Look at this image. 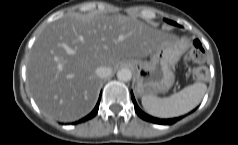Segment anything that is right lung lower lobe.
<instances>
[{
    "label": "right lung lower lobe",
    "instance_id": "obj_1",
    "mask_svg": "<svg viewBox=\"0 0 238 145\" xmlns=\"http://www.w3.org/2000/svg\"><path fill=\"white\" fill-rule=\"evenodd\" d=\"M100 99H101V95H100V97H99L98 103H97L96 107L94 108V110H93L89 115H87L86 117L82 118L81 120H79V121L76 122V123L85 122V121H87V120L93 118V117L97 114V112H98Z\"/></svg>",
    "mask_w": 238,
    "mask_h": 145
}]
</instances>
